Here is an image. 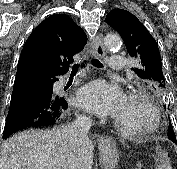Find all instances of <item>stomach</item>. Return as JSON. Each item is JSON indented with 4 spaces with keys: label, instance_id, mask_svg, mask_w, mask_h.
<instances>
[{
    "label": "stomach",
    "instance_id": "0dacf381",
    "mask_svg": "<svg viewBox=\"0 0 177 169\" xmlns=\"http://www.w3.org/2000/svg\"><path fill=\"white\" fill-rule=\"evenodd\" d=\"M100 159L104 169H116L119 162L120 153L115 144L103 142L99 147Z\"/></svg>",
    "mask_w": 177,
    "mask_h": 169
}]
</instances>
